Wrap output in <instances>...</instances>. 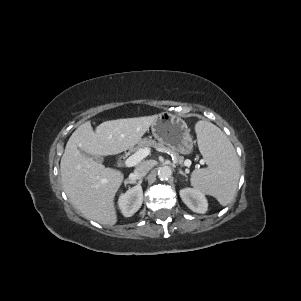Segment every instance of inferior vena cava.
Segmentation results:
<instances>
[{"mask_svg":"<svg viewBox=\"0 0 301 301\" xmlns=\"http://www.w3.org/2000/svg\"><path fill=\"white\" fill-rule=\"evenodd\" d=\"M151 169V164L149 162H143L139 164L134 172L138 177H143L145 176Z\"/></svg>","mask_w":301,"mask_h":301,"instance_id":"1","label":"inferior vena cava"}]
</instances>
